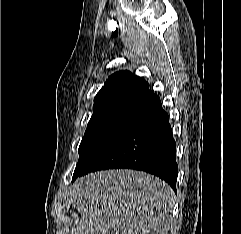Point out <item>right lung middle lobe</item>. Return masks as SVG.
Masks as SVG:
<instances>
[{"mask_svg": "<svg viewBox=\"0 0 241 234\" xmlns=\"http://www.w3.org/2000/svg\"><path fill=\"white\" fill-rule=\"evenodd\" d=\"M136 107L137 105L134 104H108L93 107V115L79 146V160L73 178L83 169L88 158L100 143L130 115Z\"/></svg>", "mask_w": 241, "mask_h": 234, "instance_id": "right-lung-middle-lobe-1", "label": "right lung middle lobe"}]
</instances>
